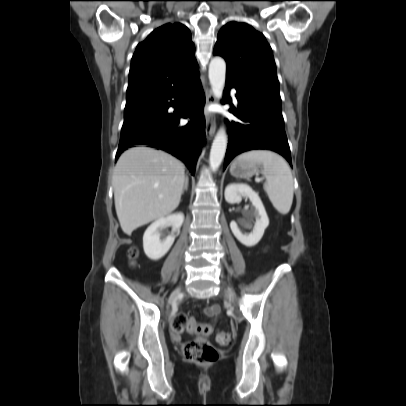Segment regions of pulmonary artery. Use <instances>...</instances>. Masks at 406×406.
I'll return each instance as SVG.
<instances>
[{
	"mask_svg": "<svg viewBox=\"0 0 406 406\" xmlns=\"http://www.w3.org/2000/svg\"><path fill=\"white\" fill-rule=\"evenodd\" d=\"M232 96H233L234 102H237V99H236V97H235V92H234V91H232Z\"/></svg>",
	"mask_w": 406,
	"mask_h": 406,
	"instance_id": "pulmonary-artery-1",
	"label": "pulmonary artery"
}]
</instances>
